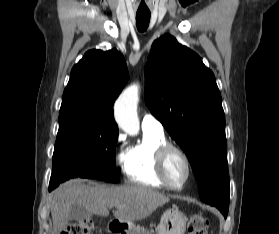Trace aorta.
<instances>
[{
  "instance_id": "762f6f07",
  "label": "aorta",
  "mask_w": 279,
  "mask_h": 234,
  "mask_svg": "<svg viewBox=\"0 0 279 234\" xmlns=\"http://www.w3.org/2000/svg\"><path fill=\"white\" fill-rule=\"evenodd\" d=\"M139 102L138 84L130 85L118 97L114 105V116L118 126L129 135H137L140 122L137 115Z\"/></svg>"
}]
</instances>
